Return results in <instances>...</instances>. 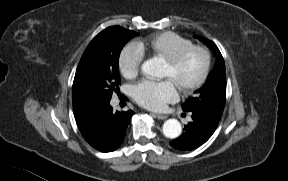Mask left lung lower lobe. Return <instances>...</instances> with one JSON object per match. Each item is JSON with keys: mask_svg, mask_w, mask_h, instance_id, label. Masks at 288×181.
Returning <instances> with one entry per match:
<instances>
[{"mask_svg": "<svg viewBox=\"0 0 288 181\" xmlns=\"http://www.w3.org/2000/svg\"><path fill=\"white\" fill-rule=\"evenodd\" d=\"M191 114L192 121L185 126L184 133L170 142L175 149L190 151L198 148L212 136L220 121L200 111Z\"/></svg>", "mask_w": 288, "mask_h": 181, "instance_id": "left-lung-lower-lobe-1", "label": "left lung lower lobe"}]
</instances>
